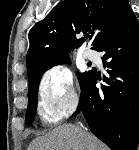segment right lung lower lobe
Instances as JSON below:
<instances>
[{
  "instance_id": "98d812e1",
  "label": "right lung lower lobe",
  "mask_w": 139,
  "mask_h": 150,
  "mask_svg": "<svg viewBox=\"0 0 139 150\" xmlns=\"http://www.w3.org/2000/svg\"><path fill=\"white\" fill-rule=\"evenodd\" d=\"M108 77L101 90L96 70L80 83L77 112L82 111L91 132L112 150H136L139 141V23L129 10L96 49Z\"/></svg>"
}]
</instances>
